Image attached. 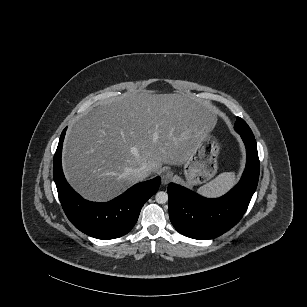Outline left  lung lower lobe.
<instances>
[{"instance_id": "obj_1", "label": "left lung lower lobe", "mask_w": 307, "mask_h": 307, "mask_svg": "<svg viewBox=\"0 0 307 307\" xmlns=\"http://www.w3.org/2000/svg\"><path fill=\"white\" fill-rule=\"evenodd\" d=\"M247 151L240 182L217 199L204 198L182 186H168L169 217L175 229L194 239H211L236 225L245 213L259 178V158L253 133L238 132Z\"/></svg>"}]
</instances>
